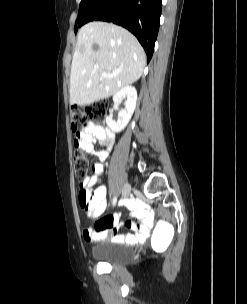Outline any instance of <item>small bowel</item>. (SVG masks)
Here are the masks:
<instances>
[{
    "instance_id": "c3829d8e",
    "label": "small bowel",
    "mask_w": 247,
    "mask_h": 304,
    "mask_svg": "<svg viewBox=\"0 0 247 304\" xmlns=\"http://www.w3.org/2000/svg\"><path fill=\"white\" fill-rule=\"evenodd\" d=\"M77 140L79 147L83 151L98 158V161L92 167V174L87 176L83 182V200L79 194L80 206L87 217L89 219H97L105 212L108 206L107 190L101 184V176L104 171V162L110 154L114 139L109 129L102 125L91 123L81 132ZM95 143L104 146L105 149L96 150L94 148ZM133 215L140 221H127L125 223L126 227L134 232L133 234H120L121 223L119 217L114 216L98 221L94 229H85L83 237L88 242H98L109 238L119 243L135 244L145 242L153 225V215L141 203L134 204Z\"/></svg>"
}]
</instances>
